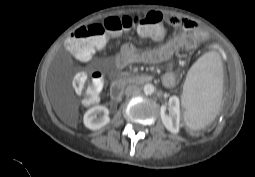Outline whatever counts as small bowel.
Segmentation results:
<instances>
[{
	"mask_svg": "<svg viewBox=\"0 0 255 177\" xmlns=\"http://www.w3.org/2000/svg\"><path fill=\"white\" fill-rule=\"evenodd\" d=\"M173 26L184 30L155 49L140 52L134 45L125 44L115 59L117 68L122 69L135 63L155 64L162 62L181 49L193 48L198 42L204 40L206 35L200 30L198 25L187 18L173 17L170 19ZM163 34V30H162ZM157 37L159 39L162 37ZM177 82V75L174 71L166 72L163 75L162 83L165 87L171 88Z\"/></svg>",
	"mask_w": 255,
	"mask_h": 177,
	"instance_id": "1",
	"label": "small bowel"
}]
</instances>
